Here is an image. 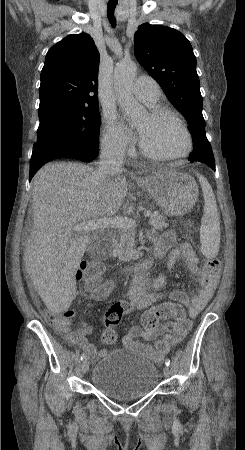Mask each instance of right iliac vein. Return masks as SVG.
I'll use <instances>...</instances> for the list:
<instances>
[{
	"instance_id": "obj_1",
	"label": "right iliac vein",
	"mask_w": 245,
	"mask_h": 450,
	"mask_svg": "<svg viewBox=\"0 0 245 450\" xmlns=\"http://www.w3.org/2000/svg\"><path fill=\"white\" fill-rule=\"evenodd\" d=\"M89 370V362L87 359L83 360L81 364V371L83 374H86Z\"/></svg>"
}]
</instances>
